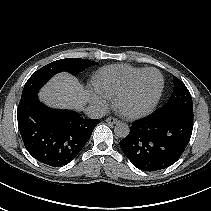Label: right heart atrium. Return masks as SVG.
I'll list each match as a JSON object with an SVG mask.
<instances>
[{
    "instance_id": "obj_1",
    "label": "right heart atrium",
    "mask_w": 211,
    "mask_h": 211,
    "mask_svg": "<svg viewBox=\"0 0 211 211\" xmlns=\"http://www.w3.org/2000/svg\"><path fill=\"white\" fill-rule=\"evenodd\" d=\"M110 96L104 93L102 90L96 88L93 93V100L98 106H106Z\"/></svg>"
}]
</instances>
